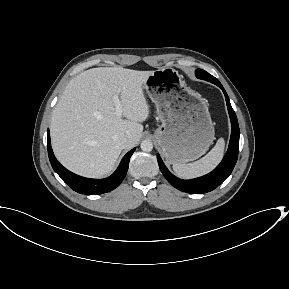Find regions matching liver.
<instances>
[{
  "mask_svg": "<svg viewBox=\"0 0 289 289\" xmlns=\"http://www.w3.org/2000/svg\"><path fill=\"white\" fill-rule=\"evenodd\" d=\"M154 71L118 67L86 70L73 78L56 104L50 125L52 148L69 170L86 177L110 174L122 151L136 146L149 116L143 85ZM119 96L122 115L115 111Z\"/></svg>",
  "mask_w": 289,
  "mask_h": 289,
  "instance_id": "obj_1",
  "label": "liver"
}]
</instances>
